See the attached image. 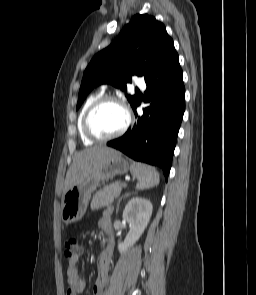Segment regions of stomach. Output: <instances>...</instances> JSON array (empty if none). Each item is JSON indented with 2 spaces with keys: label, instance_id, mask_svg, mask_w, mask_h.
<instances>
[{
  "label": "stomach",
  "instance_id": "1",
  "mask_svg": "<svg viewBox=\"0 0 256 295\" xmlns=\"http://www.w3.org/2000/svg\"><path fill=\"white\" fill-rule=\"evenodd\" d=\"M132 171V165L116 153L105 158L92 168L79 182L64 193L61 204V219L66 225L81 220L86 212L91 194L101 181Z\"/></svg>",
  "mask_w": 256,
  "mask_h": 295
}]
</instances>
